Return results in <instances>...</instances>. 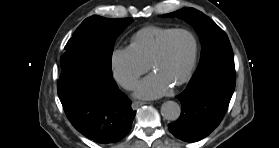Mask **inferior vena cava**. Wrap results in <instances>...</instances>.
I'll use <instances>...</instances> for the list:
<instances>
[{
	"label": "inferior vena cava",
	"mask_w": 279,
	"mask_h": 148,
	"mask_svg": "<svg viewBox=\"0 0 279 148\" xmlns=\"http://www.w3.org/2000/svg\"><path fill=\"white\" fill-rule=\"evenodd\" d=\"M120 85L128 90H131L135 87L136 82L133 79H121L119 81Z\"/></svg>",
	"instance_id": "inferior-vena-cava-1"
}]
</instances>
